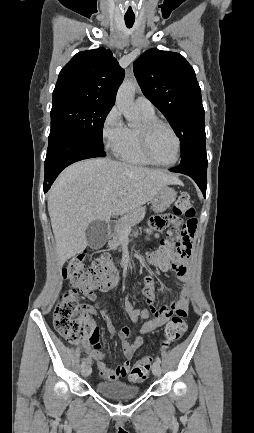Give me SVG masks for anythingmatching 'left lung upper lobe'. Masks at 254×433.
Segmentation results:
<instances>
[{
	"label": "left lung upper lobe",
	"instance_id": "left-lung-upper-lobe-1",
	"mask_svg": "<svg viewBox=\"0 0 254 433\" xmlns=\"http://www.w3.org/2000/svg\"><path fill=\"white\" fill-rule=\"evenodd\" d=\"M133 69L143 94L179 137L180 164L206 163L204 108L192 66L179 53L150 49L134 62Z\"/></svg>",
	"mask_w": 254,
	"mask_h": 433
}]
</instances>
